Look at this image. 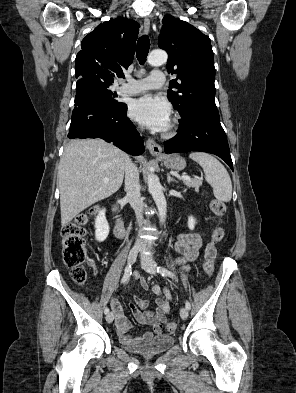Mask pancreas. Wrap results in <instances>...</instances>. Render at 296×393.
Listing matches in <instances>:
<instances>
[{
  "mask_svg": "<svg viewBox=\"0 0 296 393\" xmlns=\"http://www.w3.org/2000/svg\"><path fill=\"white\" fill-rule=\"evenodd\" d=\"M183 183L188 188H194L195 191H199V187L202 185V179L201 178H193L190 180H184Z\"/></svg>",
  "mask_w": 296,
  "mask_h": 393,
  "instance_id": "cf45deb5",
  "label": "pancreas"
}]
</instances>
